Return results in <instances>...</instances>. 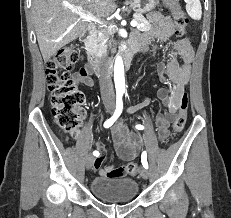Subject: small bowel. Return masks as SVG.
<instances>
[{
    "instance_id": "obj_1",
    "label": "small bowel",
    "mask_w": 231,
    "mask_h": 218,
    "mask_svg": "<svg viewBox=\"0 0 231 218\" xmlns=\"http://www.w3.org/2000/svg\"><path fill=\"white\" fill-rule=\"evenodd\" d=\"M149 19L155 25L154 29L134 38L132 48L136 51L147 52L157 48L160 44L166 43L172 36L174 25L170 16H164L159 12L149 14ZM178 56L181 62L178 61ZM194 52L187 38L176 40L171 43V54L167 62H156L153 65L161 75L163 83H170L171 88H161L157 92L158 98L166 106V113H158L156 116V127L158 137L161 141L169 136V126L172 116L179 109L180 98L189 80L191 63ZM74 75L76 83L91 87L94 84L92 72L86 63ZM152 99L147 98L143 102L127 108L128 113H134L151 103ZM112 137L117 154L125 161L136 158L140 150V141L138 138L129 134L121 122H118L112 128ZM98 155L94 160L93 169L100 170L104 176H126L127 166H106L102 168L106 156V149L101 142L96 144Z\"/></svg>"
}]
</instances>
